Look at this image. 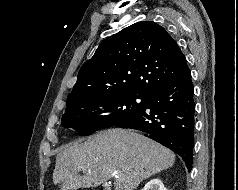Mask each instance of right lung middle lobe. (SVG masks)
I'll return each mask as SVG.
<instances>
[{
	"label": "right lung middle lobe",
	"mask_w": 238,
	"mask_h": 190,
	"mask_svg": "<svg viewBox=\"0 0 238 190\" xmlns=\"http://www.w3.org/2000/svg\"><path fill=\"white\" fill-rule=\"evenodd\" d=\"M148 97L135 93L81 96L65 110L61 122L82 135L112 127L142 109Z\"/></svg>",
	"instance_id": "1"
}]
</instances>
